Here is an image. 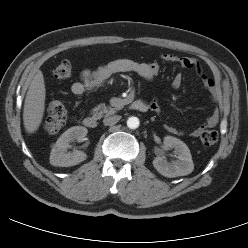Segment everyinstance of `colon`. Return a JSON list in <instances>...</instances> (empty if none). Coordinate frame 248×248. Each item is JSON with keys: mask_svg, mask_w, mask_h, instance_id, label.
I'll list each match as a JSON object with an SVG mask.
<instances>
[{"mask_svg": "<svg viewBox=\"0 0 248 248\" xmlns=\"http://www.w3.org/2000/svg\"><path fill=\"white\" fill-rule=\"evenodd\" d=\"M72 74V65L69 60H62L54 69L53 76L57 79H67ZM67 110L61 101H52L48 105L47 117L44 128L50 133H57L66 123ZM202 144L206 147H212L218 141V132L214 130H205L200 135Z\"/></svg>", "mask_w": 248, "mask_h": 248, "instance_id": "5ec220e1", "label": "colon"}]
</instances>
